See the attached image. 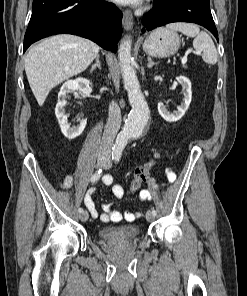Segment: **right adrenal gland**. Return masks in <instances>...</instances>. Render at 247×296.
<instances>
[{"label":"right adrenal gland","mask_w":247,"mask_h":296,"mask_svg":"<svg viewBox=\"0 0 247 296\" xmlns=\"http://www.w3.org/2000/svg\"><path fill=\"white\" fill-rule=\"evenodd\" d=\"M100 55L96 56V63L91 66L90 72H93L96 68L101 70Z\"/></svg>","instance_id":"right-adrenal-gland-1"}]
</instances>
